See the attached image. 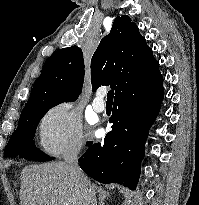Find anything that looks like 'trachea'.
Wrapping results in <instances>:
<instances>
[{
	"mask_svg": "<svg viewBox=\"0 0 199 205\" xmlns=\"http://www.w3.org/2000/svg\"><path fill=\"white\" fill-rule=\"evenodd\" d=\"M113 97H114V91H113V90H110V91L107 93V101H112V100H113Z\"/></svg>",
	"mask_w": 199,
	"mask_h": 205,
	"instance_id": "1",
	"label": "trachea"
}]
</instances>
